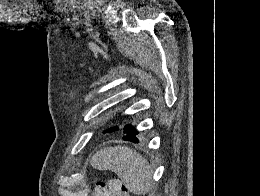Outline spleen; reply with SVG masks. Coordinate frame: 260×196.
Returning a JSON list of instances; mask_svg holds the SVG:
<instances>
[{"label":"spleen","instance_id":"obj_1","mask_svg":"<svg viewBox=\"0 0 260 196\" xmlns=\"http://www.w3.org/2000/svg\"><path fill=\"white\" fill-rule=\"evenodd\" d=\"M91 166L95 170L115 172L128 192L132 194L144 196L151 190L153 170L146 158L132 148H127V146L103 148L92 156Z\"/></svg>","mask_w":260,"mask_h":196}]
</instances>
